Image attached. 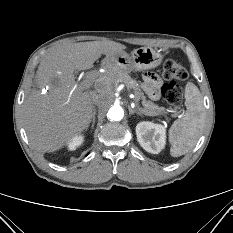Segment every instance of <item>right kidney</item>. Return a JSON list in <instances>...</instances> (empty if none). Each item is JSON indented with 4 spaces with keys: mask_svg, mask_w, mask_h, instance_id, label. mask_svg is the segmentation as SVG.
Masks as SVG:
<instances>
[{
    "mask_svg": "<svg viewBox=\"0 0 233 233\" xmlns=\"http://www.w3.org/2000/svg\"><path fill=\"white\" fill-rule=\"evenodd\" d=\"M84 141V137L82 135H77L73 137L67 144H68V149L73 151L77 147H79Z\"/></svg>",
    "mask_w": 233,
    "mask_h": 233,
    "instance_id": "obj_1",
    "label": "right kidney"
}]
</instances>
